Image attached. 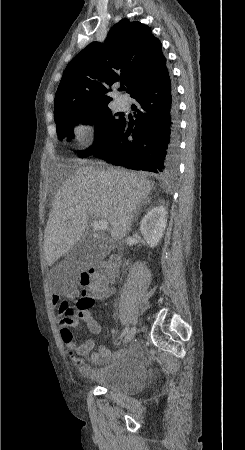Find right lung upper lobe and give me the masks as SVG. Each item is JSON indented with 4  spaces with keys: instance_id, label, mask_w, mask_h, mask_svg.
I'll list each match as a JSON object with an SVG mask.
<instances>
[{
    "instance_id": "1",
    "label": "right lung upper lobe",
    "mask_w": 245,
    "mask_h": 450,
    "mask_svg": "<svg viewBox=\"0 0 245 450\" xmlns=\"http://www.w3.org/2000/svg\"><path fill=\"white\" fill-rule=\"evenodd\" d=\"M165 67L161 43L151 29L123 19L110 30L104 44L91 43L67 65L54 107L108 105L112 100L106 95L110 86L120 82L133 95Z\"/></svg>"
}]
</instances>
